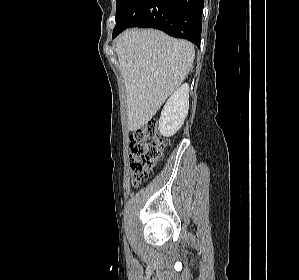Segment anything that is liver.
I'll use <instances>...</instances> for the list:
<instances>
[{
    "mask_svg": "<svg viewBox=\"0 0 299 280\" xmlns=\"http://www.w3.org/2000/svg\"><path fill=\"white\" fill-rule=\"evenodd\" d=\"M115 51L126 88L128 130L137 131L187 77L194 46L162 31L130 29L119 36Z\"/></svg>",
    "mask_w": 299,
    "mask_h": 280,
    "instance_id": "1",
    "label": "liver"
}]
</instances>
